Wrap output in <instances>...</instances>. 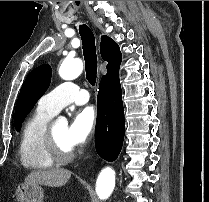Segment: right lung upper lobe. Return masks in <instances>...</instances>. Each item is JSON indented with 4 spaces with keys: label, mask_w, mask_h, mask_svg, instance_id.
<instances>
[{
    "label": "right lung upper lobe",
    "mask_w": 209,
    "mask_h": 202,
    "mask_svg": "<svg viewBox=\"0 0 209 202\" xmlns=\"http://www.w3.org/2000/svg\"><path fill=\"white\" fill-rule=\"evenodd\" d=\"M101 56L108 61L107 74L100 81L101 84L119 83L118 69L121 62V53L118 45L109 37L103 36L100 45Z\"/></svg>",
    "instance_id": "1"
}]
</instances>
